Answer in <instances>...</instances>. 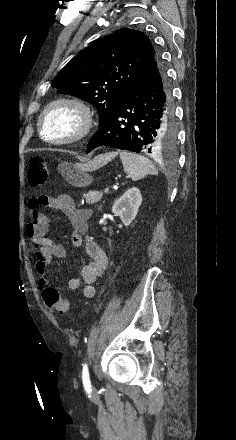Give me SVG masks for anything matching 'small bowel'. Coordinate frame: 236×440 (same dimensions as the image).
I'll return each mask as SVG.
<instances>
[{
  "mask_svg": "<svg viewBox=\"0 0 236 440\" xmlns=\"http://www.w3.org/2000/svg\"><path fill=\"white\" fill-rule=\"evenodd\" d=\"M30 220L26 226V235L35 249V270L38 275V285L46 287V271L54 259L66 257L65 247L48 236L49 216L42 211L43 207L66 211L70 214L73 229L71 241L74 246L84 245L90 261L81 270V278H71L68 281V289L75 291L81 288L83 296L91 299L95 296L94 282L100 277L108 266V257L104 250L88 236V221L91 218V210L78 208L69 195L49 197L35 195L29 199Z\"/></svg>",
  "mask_w": 236,
  "mask_h": 440,
  "instance_id": "c3829d8e",
  "label": "small bowel"
}]
</instances>
